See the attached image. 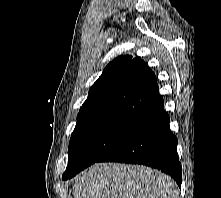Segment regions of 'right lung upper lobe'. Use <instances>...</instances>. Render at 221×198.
Returning <instances> with one entry per match:
<instances>
[{"instance_id": "1", "label": "right lung upper lobe", "mask_w": 221, "mask_h": 198, "mask_svg": "<svg viewBox=\"0 0 221 198\" xmlns=\"http://www.w3.org/2000/svg\"><path fill=\"white\" fill-rule=\"evenodd\" d=\"M163 105L155 74L139 57L122 55L106 66L90 88L75 129L108 118L143 122Z\"/></svg>"}]
</instances>
